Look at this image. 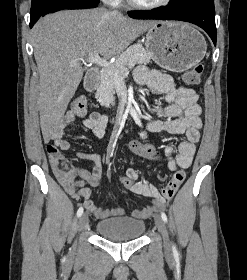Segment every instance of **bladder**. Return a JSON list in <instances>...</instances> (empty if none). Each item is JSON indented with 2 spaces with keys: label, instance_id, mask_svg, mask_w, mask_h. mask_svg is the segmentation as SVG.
<instances>
[{
  "label": "bladder",
  "instance_id": "1",
  "mask_svg": "<svg viewBox=\"0 0 247 280\" xmlns=\"http://www.w3.org/2000/svg\"><path fill=\"white\" fill-rule=\"evenodd\" d=\"M97 233L112 241H130L141 237L145 231L143 220L130 217H114L99 221Z\"/></svg>",
  "mask_w": 247,
  "mask_h": 280
}]
</instances>
